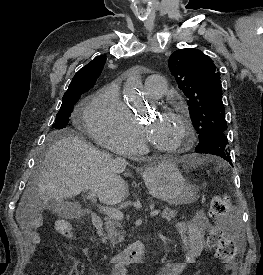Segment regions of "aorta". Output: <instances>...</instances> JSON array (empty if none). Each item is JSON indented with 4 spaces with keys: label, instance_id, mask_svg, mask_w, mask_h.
Masks as SVG:
<instances>
[{
    "label": "aorta",
    "instance_id": "1",
    "mask_svg": "<svg viewBox=\"0 0 263 275\" xmlns=\"http://www.w3.org/2000/svg\"><path fill=\"white\" fill-rule=\"evenodd\" d=\"M142 88L143 85L140 74L137 71L130 72L123 87L125 100L129 103L139 100L141 98Z\"/></svg>",
    "mask_w": 263,
    "mask_h": 275
}]
</instances>
